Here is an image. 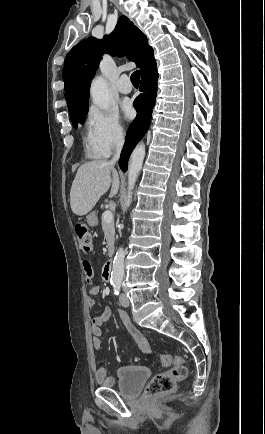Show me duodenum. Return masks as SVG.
Instances as JSON below:
<instances>
[{
    "instance_id": "obj_1",
    "label": "duodenum",
    "mask_w": 265,
    "mask_h": 434,
    "mask_svg": "<svg viewBox=\"0 0 265 434\" xmlns=\"http://www.w3.org/2000/svg\"><path fill=\"white\" fill-rule=\"evenodd\" d=\"M112 267L113 261H107L103 267V279L107 282L110 280Z\"/></svg>"
}]
</instances>
